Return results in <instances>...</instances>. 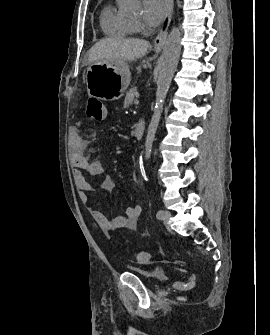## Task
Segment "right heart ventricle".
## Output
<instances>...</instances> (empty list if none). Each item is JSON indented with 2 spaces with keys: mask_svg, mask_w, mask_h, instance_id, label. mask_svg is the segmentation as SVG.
Returning <instances> with one entry per match:
<instances>
[{
  "mask_svg": "<svg viewBox=\"0 0 270 335\" xmlns=\"http://www.w3.org/2000/svg\"><path fill=\"white\" fill-rule=\"evenodd\" d=\"M100 25L107 36L125 37L134 33V23L117 12L111 4L102 10Z\"/></svg>",
  "mask_w": 270,
  "mask_h": 335,
  "instance_id": "1",
  "label": "right heart ventricle"
}]
</instances>
